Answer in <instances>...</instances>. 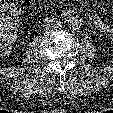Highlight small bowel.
Wrapping results in <instances>:
<instances>
[{
    "label": "small bowel",
    "mask_w": 113,
    "mask_h": 113,
    "mask_svg": "<svg viewBox=\"0 0 113 113\" xmlns=\"http://www.w3.org/2000/svg\"><path fill=\"white\" fill-rule=\"evenodd\" d=\"M92 22L102 33L113 37V25L105 23L100 17L97 16L92 18Z\"/></svg>",
    "instance_id": "1"
}]
</instances>
